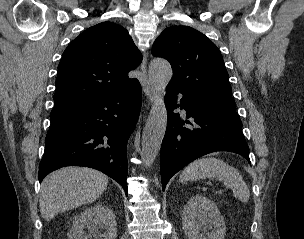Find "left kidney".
Listing matches in <instances>:
<instances>
[{
	"mask_svg": "<svg viewBox=\"0 0 304 239\" xmlns=\"http://www.w3.org/2000/svg\"><path fill=\"white\" fill-rule=\"evenodd\" d=\"M183 230L188 239H224L226 225L216 204L206 197H191L182 211Z\"/></svg>",
	"mask_w": 304,
	"mask_h": 239,
	"instance_id": "left-kidney-1",
	"label": "left kidney"
}]
</instances>
